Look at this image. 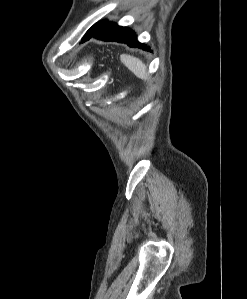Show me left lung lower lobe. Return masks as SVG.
Returning a JSON list of instances; mask_svg holds the SVG:
<instances>
[{
    "mask_svg": "<svg viewBox=\"0 0 247 299\" xmlns=\"http://www.w3.org/2000/svg\"><path fill=\"white\" fill-rule=\"evenodd\" d=\"M95 37L104 41H117L120 43H125L132 47H139L143 50L149 51V47H146L145 44L139 43L137 41L135 33L130 30L128 27L118 26L114 22L104 21L96 29L87 33L83 41H87L90 38Z\"/></svg>",
    "mask_w": 247,
    "mask_h": 299,
    "instance_id": "1",
    "label": "left lung lower lobe"
}]
</instances>
